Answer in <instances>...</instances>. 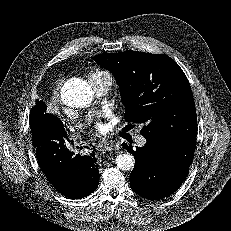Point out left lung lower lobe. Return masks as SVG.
Listing matches in <instances>:
<instances>
[{"instance_id":"left-lung-lower-lobe-1","label":"left lung lower lobe","mask_w":231,"mask_h":231,"mask_svg":"<svg viewBox=\"0 0 231 231\" xmlns=\"http://www.w3.org/2000/svg\"><path fill=\"white\" fill-rule=\"evenodd\" d=\"M146 140L147 144L136 147V151L131 146L123 145L135 158L130 185L143 198L163 199L174 193L188 175L196 141L169 145L159 139Z\"/></svg>"}]
</instances>
